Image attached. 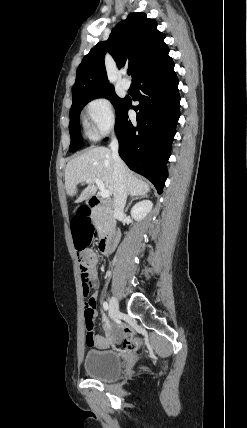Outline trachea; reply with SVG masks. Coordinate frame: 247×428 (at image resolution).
Wrapping results in <instances>:
<instances>
[{
	"mask_svg": "<svg viewBox=\"0 0 247 428\" xmlns=\"http://www.w3.org/2000/svg\"><path fill=\"white\" fill-rule=\"evenodd\" d=\"M128 74H129V75L131 74V70H128Z\"/></svg>",
	"mask_w": 247,
	"mask_h": 428,
	"instance_id": "obj_1",
	"label": "trachea"
}]
</instances>
